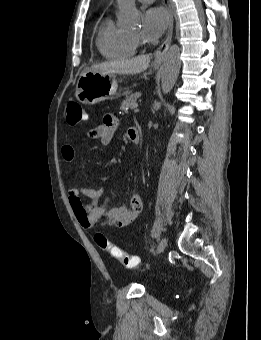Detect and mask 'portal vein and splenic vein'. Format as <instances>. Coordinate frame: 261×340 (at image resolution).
Here are the masks:
<instances>
[{
	"instance_id": "18ae733b",
	"label": "portal vein and splenic vein",
	"mask_w": 261,
	"mask_h": 340,
	"mask_svg": "<svg viewBox=\"0 0 261 340\" xmlns=\"http://www.w3.org/2000/svg\"><path fill=\"white\" fill-rule=\"evenodd\" d=\"M139 111H140V109H139L138 105H135L134 106V112L138 113Z\"/></svg>"
}]
</instances>
